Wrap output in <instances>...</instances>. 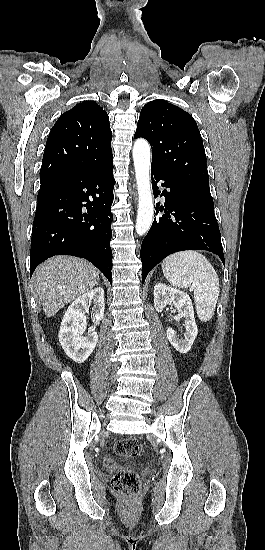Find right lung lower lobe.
Listing matches in <instances>:
<instances>
[{
	"label": "right lung lower lobe",
	"instance_id": "right-lung-lower-lobe-1",
	"mask_svg": "<svg viewBox=\"0 0 265 550\" xmlns=\"http://www.w3.org/2000/svg\"><path fill=\"white\" fill-rule=\"evenodd\" d=\"M114 184L111 160L41 185L32 229L30 277L47 258L66 254L87 259L112 283L109 243Z\"/></svg>",
	"mask_w": 265,
	"mask_h": 550
}]
</instances>
